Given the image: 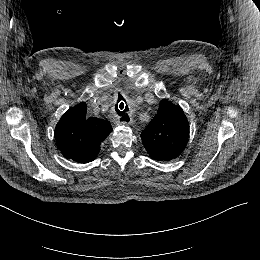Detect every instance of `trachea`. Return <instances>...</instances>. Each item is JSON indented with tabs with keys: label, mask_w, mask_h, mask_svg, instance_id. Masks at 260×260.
I'll return each mask as SVG.
<instances>
[{
	"label": "trachea",
	"mask_w": 260,
	"mask_h": 260,
	"mask_svg": "<svg viewBox=\"0 0 260 260\" xmlns=\"http://www.w3.org/2000/svg\"><path fill=\"white\" fill-rule=\"evenodd\" d=\"M129 110L128 106L126 105L124 107V104H120L119 107L116 105V112L117 115L121 117L120 121H129V116L127 114V111Z\"/></svg>",
	"instance_id": "trachea-1"
}]
</instances>
